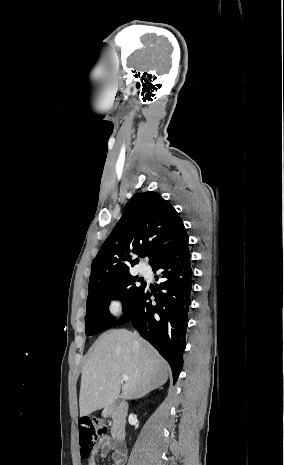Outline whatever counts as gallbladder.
I'll return each mask as SVG.
<instances>
[{"label": "gallbladder", "mask_w": 284, "mask_h": 465, "mask_svg": "<svg viewBox=\"0 0 284 465\" xmlns=\"http://www.w3.org/2000/svg\"><path fill=\"white\" fill-rule=\"evenodd\" d=\"M120 403H122V399H116V401H115V403H114V405H115V407H114L115 411H116V407H119Z\"/></svg>", "instance_id": "1"}]
</instances>
